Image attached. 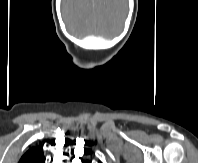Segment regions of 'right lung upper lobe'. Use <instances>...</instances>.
Masks as SVG:
<instances>
[{
	"label": "right lung upper lobe",
	"instance_id": "right-lung-upper-lobe-1",
	"mask_svg": "<svg viewBox=\"0 0 198 163\" xmlns=\"http://www.w3.org/2000/svg\"><path fill=\"white\" fill-rule=\"evenodd\" d=\"M45 157L41 147L30 148L19 160L18 163H44Z\"/></svg>",
	"mask_w": 198,
	"mask_h": 163
}]
</instances>
